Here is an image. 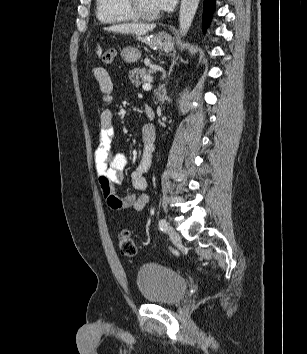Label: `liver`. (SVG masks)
Here are the masks:
<instances>
[{
    "instance_id": "obj_1",
    "label": "liver",
    "mask_w": 307,
    "mask_h": 354,
    "mask_svg": "<svg viewBox=\"0 0 307 354\" xmlns=\"http://www.w3.org/2000/svg\"><path fill=\"white\" fill-rule=\"evenodd\" d=\"M154 24H136V23H124L105 27L104 30L109 32L121 33V34H135L145 35L149 31L153 30Z\"/></svg>"
}]
</instances>
